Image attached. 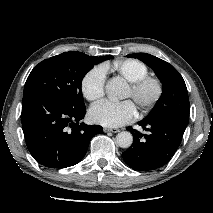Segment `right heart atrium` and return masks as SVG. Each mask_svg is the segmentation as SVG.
<instances>
[{"mask_svg":"<svg viewBox=\"0 0 213 213\" xmlns=\"http://www.w3.org/2000/svg\"><path fill=\"white\" fill-rule=\"evenodd\" d=\"M106 70L103 66H94L82 78L81 91L90 102H96L105 94Z\"/></svg>","mask_w":213,"mask_h":213,"instance_id":"1","label":"right heart atrium"}]
</instances>
